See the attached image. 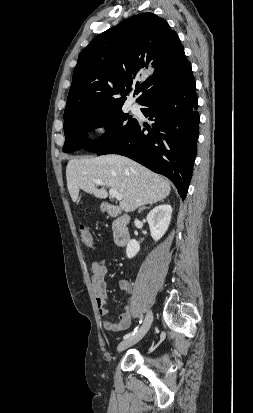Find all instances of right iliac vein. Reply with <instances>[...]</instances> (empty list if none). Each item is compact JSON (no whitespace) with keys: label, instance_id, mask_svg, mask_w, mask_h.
Wrapping results in <instances>:
<instances>
[{"label":"right iliac vein","instance_id":"right-iliac-vein-1","mask_svg":"<svg viewBox=\"0 0 253 413\" xmlns=\"http://www.w3.org/2000/svg\"><path fill=\"white\" fill-rule=\"evenodd\" d=\"M152 321H153V314H152V312L150 311V312L147 314V316H146V318H145V320H144V323H143L142 326L139 328V330H138L133 336L125 339L124 341H122V342L118 345V347H117V352L120 353V352H122L123 350L131 347L132 345H134V344H136L138 341H140V340L145 336V334L148 332V330H149V328H150V326H151V324H152Z\"/></svg>","mask_w":253,"mask_h":413}]
</instances>
